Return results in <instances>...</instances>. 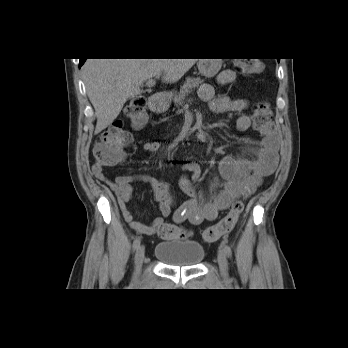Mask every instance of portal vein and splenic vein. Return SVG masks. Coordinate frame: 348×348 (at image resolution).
Masks as SVG:
<instances>
[{"label": "portal vein and splenic vein", "instance_id": "portal-vein-and-splenic-vein-1", "mask_svg": "<svg viewBox=\"0 0 348 348\" xmlns=\"http://www.w3.org/2000/svg\"><path fill=\"white\" fill-rule=\"evenodd\" d=\"M147 87H153L155 85V81L153 79H148L146 81Z\"/></svg>", "mask_w": 348, "mask_h": 348}]
</instances>
